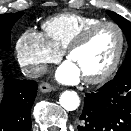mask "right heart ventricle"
I'll return each mask as SVG.
<instances>
[{
  "instance_id": "right-heart-ventricle-1",
  "label": "right heart ventricle",
  "mask_w": 131,
  "mask_h": 131,
  "mask_svg": "<svg viewBox=\"0 0 131 131\" xmlns=\"http://www.w3.org/2000/svg\"><path fill=\"white\" fill-rule=\"evenodd\" d=\"M100 21L92 16L63 13L47 19L42 28L45 38L62 53L80 32Z\"/></svg>"
}]
</instances>
